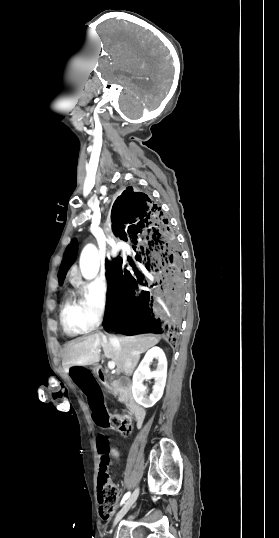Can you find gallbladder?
Instances as JSON below:
<instances>
[{"instance_id": "obj_1", "label": "gallbladder", "mask_w": 279, "mask_h": 538, "mask_svg": "<svg viewBox=\"0 0 279 538\" xmlns=\"http://www.w3.org/2000/svg\"><path fill=\"white\" fill-rule=\"evenodd\" d=\"M117 385L119 387H126L128 385V378L126 376H119L117 378Z\"/></svg>"}]
</instances>
